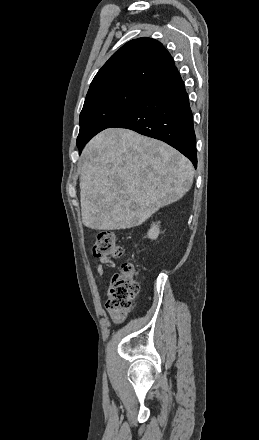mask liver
<instances>
[{"mask_svg": "<svg viewBox=\"0 0 259 440\" xmlns=\"http://www.w3.org/2000/svg\"><path fill=\"white\" fill-rule=\"evenodd\" d=\"M193 177L192 163L166 143L128 129H106L82 152V222L94 230L139 226L181 199Z\"/></svg>", "mask_w": 259, "mask_h": 440, "instance_id": "1", "label": "liver"}]
</instances>
